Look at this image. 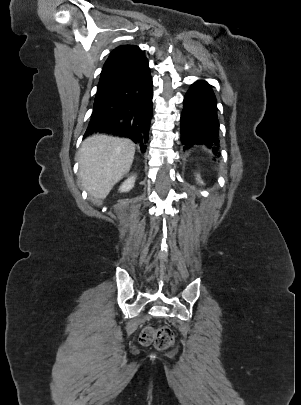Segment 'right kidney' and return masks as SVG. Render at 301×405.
Wrapping results in <instances>:
<instances>
[{"mask_svg":"<svg viewBox=\"0 0 301 405\" xmlns=\"http://www.w3.org/2000/svg\"><path fill=\"white\" fill-rule=\"evenodd\" d=\"M134 184H135V176H130L122 183V185L119 188V191L121 193L128 192L134 187Z\"/></svg>","mask_w":301,"mask_h":405,"instance_id":"right-kidney-1","label":"right kidney"}]
</instances>
